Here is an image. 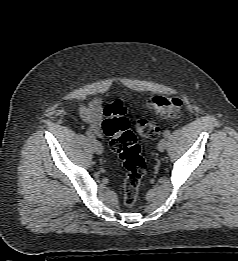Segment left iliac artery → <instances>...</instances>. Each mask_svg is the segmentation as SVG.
I'll return each instance as SVG.
<instances>
[{"mask_svg": "<svg viewBox=\"0 0 238 261\" xmlns=\"http://www.w3.org/2000/svg\"><path fill=\"white\" fill-rule=\"evenodd\" d=\"M163 136L164 137H169L170 136V131L169 130H165L164 133H163Z\"/></svg>", "mask_w": 238, "mask_h": 261, "instance_id": "44dca946", "label": "left iliac artery"}]
</instances>
